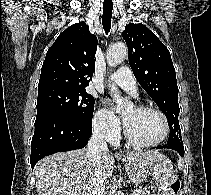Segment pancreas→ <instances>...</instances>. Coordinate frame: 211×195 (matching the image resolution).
<instances>
[{
    "label": "pancreas",
    "mask_w": 211,
    "mask_h": 195,
    "mask_svg": "<svg viewBox=\"0 0 211 195\" xmlns=\"http://www.w3.org/2000/svg\"><path fill=\"white\" fill-rule=\"evenodd\" d=\"M134 195H149V190L147 188H137L134 190Z\"/></svg>",
    "instance_id": "obj_1"
}]
</instances>
